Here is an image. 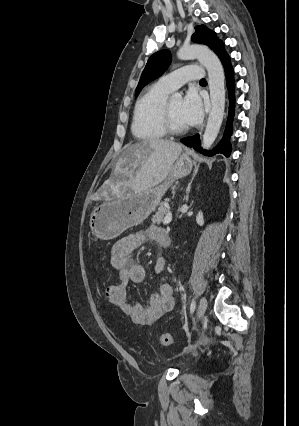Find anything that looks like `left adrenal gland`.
I'll list each match as a JSON object with an SVG mask.
<instances>
[{
  "label": "left adrenal gland",
  "mask_w": 299,
  "mask_h": 426,
  "mask_svg": "<svg viewBox=\"0 0 299 426\" xmlns=\"http://www.w3.org/2000/svg\"><path fill=\"white\" fill-rule=\"evenodd\" d=\"M190 189H191V184H189V186L187 188V192H186V196H185L186 201H188Z\"/></svg>",
  "instance_id": "left-adrenal-gland-1"
}]
</instances>
